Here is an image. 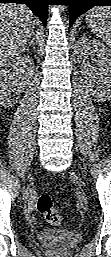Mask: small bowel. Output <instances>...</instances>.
Returning a JSON list of instances; mask_svg holds the SVG:
<instances>
[{
	"label": "small bowel",
	"instance_id": "obj_1",
	"mask_svg": "<svg viewBox=\"0 0 111 257\" xmlns=\"http://www.w3.org/2000/svg\"><path fill=\"white\" fill-rule=\"evenodd\" d=\"M33 209H34V202H33V200H31V201L29 202V204H28L27 210H28L29 213H31V212L33 211ZM30 218H31L32 220L34 219L33 216H30Z\"/></svg>",
	"mask_w": 111,
	"mask_h": 257
}]
</instances>
